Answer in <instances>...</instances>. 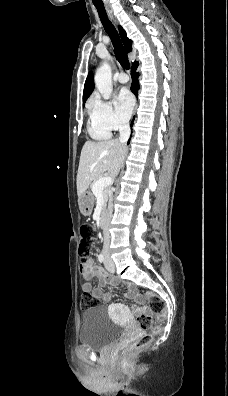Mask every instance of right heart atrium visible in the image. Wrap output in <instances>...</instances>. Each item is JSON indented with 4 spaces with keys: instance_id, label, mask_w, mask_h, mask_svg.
<instances>
[{
    "instance_id": "1",
    "label": "right heart atrium",
    "mask_w": 228,
    "mask_h": 396,
    "mask_svg": "<svg viewBox=\"0 0 228 396\" xmlns=\"http://www.w3.org/2000/svg\"><path fill=\"white\" fill-rule=\"evenodd\" d=\"M91 117L104 129L109 132L117 131L127 125V121L122 119L114 110L112 103L102 100L99 97L92 99L90 103Z\"/></svg>"
}]
</instances>
